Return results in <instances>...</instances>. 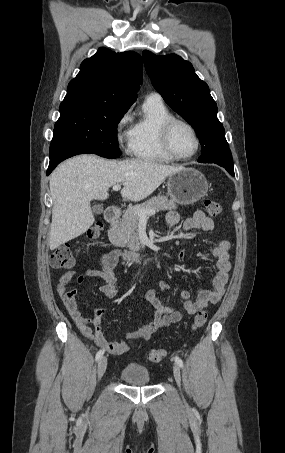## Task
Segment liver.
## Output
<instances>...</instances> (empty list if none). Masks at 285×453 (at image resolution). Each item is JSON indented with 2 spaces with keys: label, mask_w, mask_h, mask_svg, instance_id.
<instances>
[{
  "label": "liver",
  "mask_w": 285,
  "mask_h": 453,
  "mask_svg": "<svg viewBox=\"0 0 285 453\" xmlns=\"http://www.w3.org/2000/svg\"><path fill=\"white\" fill-rule=\"evenodd\" d=\"M181 166L149 160H108L94 155H79L61 163L50 176L53 200L49 247L51 250L85 233L95 218L90 203L105 200L108 189L123 183L121 196L141 201Z\"/></svg>",
  "instance_id": "obj_1"
}]
</instances>
